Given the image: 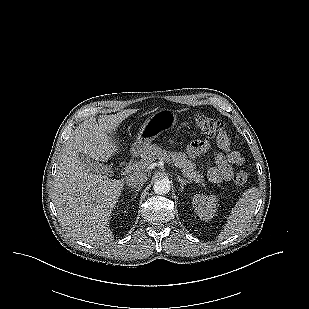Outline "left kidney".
I'll return each mask as SVG.
<instances>
[{
	"label": "left kidney",
	"mask_w": 309,
	"mask_h": 309,
	"mask_svg": "<svg viewBox=\"0 0 309 309\" xmlns=\"http://www.w3.org/2000/svg\"><path fill=\"white\" fill-rule=\"evenodd\" d=\"M192 205L199 218L208 221L215 215L217 198L214 195L197 194L192 199Z\"/></svg>",
	"instance_id": "1"
}]
</instances>
